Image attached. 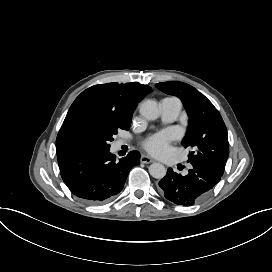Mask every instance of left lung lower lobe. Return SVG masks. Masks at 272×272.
I'll return each mask as SVG.
<instances>
[{"label": "left lung lower lobe", "instance_id": "1", "mask_svg": "<svg viewBox=\"0 0 272 272\" xmlns=\"http://www.w3.org/2000/svg\"><path fill=\"white\" fill-rule=\"evenodd\" d=\"M192 166L193 169H190L186 176L168 169L166 176L159 182L165 198L174 204L193 205L208 193L222 176L208 167L199 164Z\"/></svg>", "mask_w": 272, "mask_h": 272}]
</instances>
